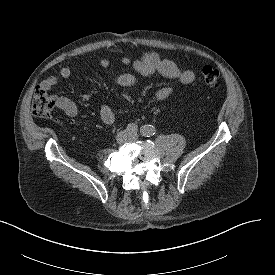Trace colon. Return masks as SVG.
I'll return each instance as SVG.
<instances>
[{"label": "colon", "mask_w": 275, "mask_h": 275, "mask_svg": "<svg viewBox=\"0 0 275 275\" xmlns=\"http://www.w3.org/2000/svg\"><path fill=\"white\" fill-rule=\"evenodd\" d=\"M201 75L207 87H218L220 81V72L218 69L206 66L202 69ZM56 106L55 97L45 87L37 85L32 97V111L34 115L40 118H50Z\"/></svg>", "instance_id": "1"}]
</instances>
